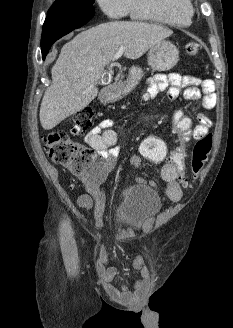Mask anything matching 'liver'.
Listing matches in <instances>:
<instances>
[{"label": "liver", "mask_w": 233, "mask_h": 328, "mask_svg": "<svg viewBox=\"0 0 233 328\" xmlns=\"http://www.w3.org/2000/svg\"><path fill=\"white\" fill-rule=\"evenodd\" d=\"M173 31L156 24L111 21L82 31L66 43L52 67V84L44 93L40 122L50 130L84 109L97 96L96 87L106 65L120 46L124 56L138 59Z\"/></svg>", "instance_id": "liver-1"}]
</instances>
